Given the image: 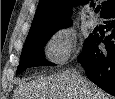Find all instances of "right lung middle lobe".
I'll list each match as a JSON object with an SVG mask.
<instances>
[{"label":"right lung middle lobe","mask_w":115,"mask_h":99,"mask_svg":"<svg viewBox=\"0 0 115 99\" xmlns=\"http://www.w3.org/2000/svg\"><path fill=\"white\" fill-rule=\"evenodd\" d=\"M56 31L57 30L45 34L28 36L26 38L21 53L20 64L18 66L16 74H19L25 69L33 66L53 65L52 63H47V61L45 60L43 48L46 42ZM90 37L91 35L85 40L83 47L88 42Z\"/></svg>","instance_id":"obj_1"}]
</instances>
